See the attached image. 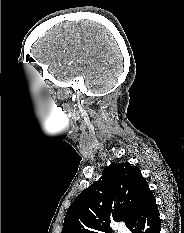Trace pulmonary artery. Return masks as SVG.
<instances>
[{"label":"pulmonary artery","instance_id":"obj_1","mask_svg":"<svg viewBox=\"0 0 184 233\" xmlns=\"http://www.w3.org/2000/svg\"><path fill=\"white\" fill-rule=\"evenodd\" d=\"M117 231L118 233H129V230L123 224H119Z\"/></svg>","mask_w":184,"mask_h":233}]
</instances>
